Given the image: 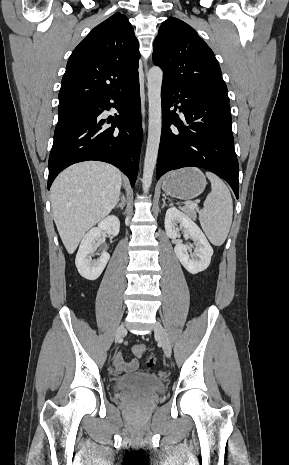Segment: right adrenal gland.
<instances>
[{
	"label": "right adrenal gland",
	"instance_id": "obj_1",
	"mask_svg": "<svg viewBox=\"0 0 289 465\" xmlns=\"http://www.w3.org/2000/svg\"><path fill=\"white\" fill-rule=\"evenodd\" d=\"M125 205H126V200H125V198H124V197H122V198H121V202H120V203H119L117 206H115V208H114V209H116V208H120L121 210H123V209H124V207H125Z\"/></svg>",
	"mask_w": 289,
	"mask_h": 465
}]
</instances>
